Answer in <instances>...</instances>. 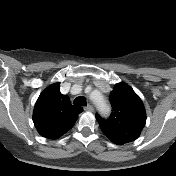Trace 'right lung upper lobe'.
Listing matches in <instances>:
<instances>
[{
  "label": "right lung upper lobe",
  "mask_w": 176,
  "mask_h": 176,
  "mask_svg": "<svg viewBox=\"0 0 176 176\" xmlns=\"http://www.w3.org/2000/svg\"><path fill=\"white\" fill-rule=\"evenodd\" d=\"M82 107L71 104L70 98L60 93V83L44 89L35 104L33 122L40 135L57 139L75 124Z\"/></svg>",
  "instance_id": "obj_1"
}]
</instances>
